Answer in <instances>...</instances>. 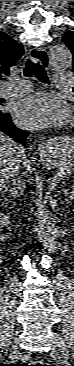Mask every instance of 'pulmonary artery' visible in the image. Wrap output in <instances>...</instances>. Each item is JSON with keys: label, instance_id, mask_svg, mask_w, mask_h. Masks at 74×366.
I'll list each match as a JSON object with an SVG mask.
<instances>
[{"label": "pulmonary artery", "instance_id": "e3ab8cb5", "mask_svg": "<svg viewBox=\"0 0 74 366\" xmlns=\"http://www.w3.org/2000/svg\"><path fill=\"white\" fill-rule=\"evenodd\" d=\"M54 86L58 89L70 87L72 75L63 70H57L53 74ZM31 90V84L27 81H11L3 90V94L8 96H19L28 93Z\"/></svg>", "mask_w": 74, "mask_h": 366}]
</instances>
